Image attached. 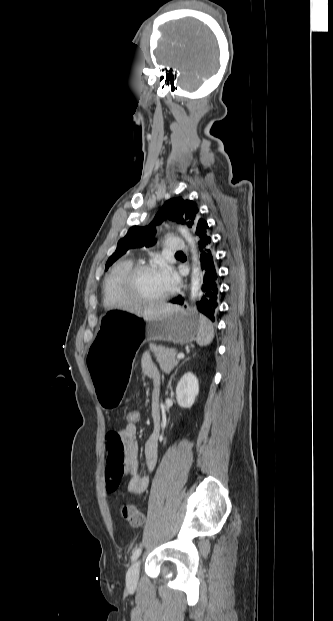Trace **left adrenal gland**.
Listing matches in <instances>:
<instances>
[{
	"mask_svg": "<svg viewBox=\"0 0 333 621\" xmlns=\"http://www.w3.org/2000/svg\"><path fill=\"white\" fill-rule=\"evenodd\" d=\"M188 360H189V358H187L186 360H184V361H183V362L179 365V367H178V368H176L175 372L171 375V378H170V381H169L168 387L171 385L172 378L176 375V373H177L178 369H179L180 367H182V366H183V365H184V364H185Z\"/></svg>",
	"mask_w": 333,
	"mask_h": 621,
	"instance_id": "a2214340",
	"label": "left adrenal gland"
}]
</instances>
